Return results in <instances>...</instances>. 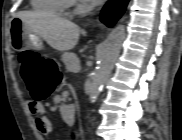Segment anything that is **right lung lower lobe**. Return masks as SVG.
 <instances>
[{
	"label": "right lung lower lobe",
	"instance_id": "98d812e1",
	"mask_svg": "<svg viewBox=\"0 0 182 140\" xmlns=\"http://www.w3.org/2000/svg\"><path fill=\"white\" fill-rule=\"evenodd\" d=\"M129 0H109L101 13V21L112 27L124 13Z\"/></svg>",
	"mask_w": 182,
	"mask_h": 140
}]
</instances>
